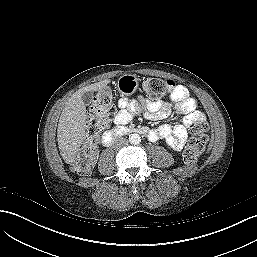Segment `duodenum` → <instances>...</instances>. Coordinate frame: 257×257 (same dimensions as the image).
Masks as SVG:
<instances>
[{
  "mask_svg": "<svg viewBox=\"0 0 257 257\" xmlns=\"http://www.w3.org/2000/svg\"><path fill=\"white\" fill-rule=\"evenodd\" d=\"M138 133L142 135H148L149 134V129L147 127H139V128H134V129H128L124 126L117 125L113 127L112 129L108 130L105 132L103 136V143L106 146L111 145L118 137L127 134V133Z\"/></svg>",
  "mask_w": 257,
  "mask_h": 257,
  "instance_id": "410a0bca",
  "label": "duodenum"
}]
</instances>
